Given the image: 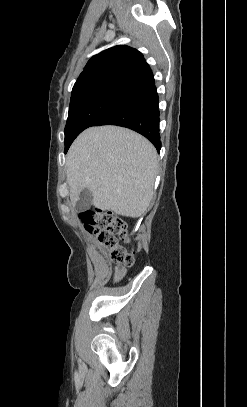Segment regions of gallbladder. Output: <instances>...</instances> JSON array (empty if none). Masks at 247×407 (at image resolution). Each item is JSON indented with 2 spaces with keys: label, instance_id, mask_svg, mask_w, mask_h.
Returning a JSON list of instances; mask_svg holds the SVG:
<instances>
[{
  "label": "gallbladder",
  "instance_id": "obj_1",
  "mask_svg": "<svg viewBox=\"0 0 247 407\" xmlns=\"http://www.w3.org/2000/svg\"><path fill=\"white\" fill-rule=\"evenodd\" d=\"M93 203V195L90 190L88 189H83L82 192L80 193L79 199L76 203V209L78 211H85Z\"/></svg>",
  "mask_w": 247,
  "mask_h": 407
}]
</instances>
